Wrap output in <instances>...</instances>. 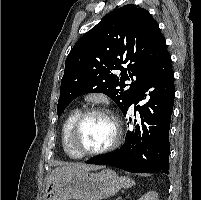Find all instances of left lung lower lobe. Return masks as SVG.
Instances as JSON below:
<instances>
[{
  "instance_id": "left-lung-lower-lobe-1",
  "label": "left lung lower lobe",
  "mask_w": 201,
  "mask_h": 200,
  "mask_svg": "<svg viewBox=\"0 0 201 200\" xmlns=\"http://www.w3.org/2000/svg\"><path fill=\"white\" fill-rule=\"evenodd\" d=\"M174 97V72L167 51L144 78L129 104L130 107L147 100L145 105L134 108L135 114L139 111L141 127L136 125L135 131H128L125 143L115 152L96 156L86 163L110 165L133 173L169 174V128Z\"/></svg>"
}]
</instances>
